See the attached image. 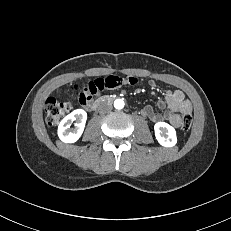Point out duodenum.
Masks as SVG:
<instances>
[{"instance_id": "duodenum-1", "label": "duodenum", "mask_w": 231, "mask_h": 231, "mask_svg": "<svg viewBox=\"0 0 231 231\" xmlns=\"http://www.w3.org/2000/svg\"><path fill=\"white\" fill-rule=\"evenodd\" d=\"M111 100V97L104 95L101 96L99 98H97L91 105H90V109L91 110H96L100 105L108 102Z\"/></svg>"}]
</instances>
